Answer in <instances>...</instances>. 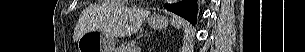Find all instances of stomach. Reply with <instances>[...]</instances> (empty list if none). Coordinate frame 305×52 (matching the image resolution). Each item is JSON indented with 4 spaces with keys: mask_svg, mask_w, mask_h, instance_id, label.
<instances>
[{
    "mask_svg": "<svg viewBox=\"0 0 305 52\" xmlns=\"http://www.w3.org/2000/svg\"><path fill=\"white\" fill-rule=\"evenodd\" d=\"M172 24H180V20H171ZM169 20L164 16H155L150 20L154 29H165ZM78 52H115V39L110 34L100 30H90L83 33L77 40Z\"/></svg>",
    "mask_w": 305,
    "mask_h": 52,
    "instance_id": "1",
    "label": "stomach"
}]
</instances>
